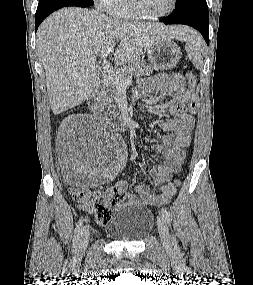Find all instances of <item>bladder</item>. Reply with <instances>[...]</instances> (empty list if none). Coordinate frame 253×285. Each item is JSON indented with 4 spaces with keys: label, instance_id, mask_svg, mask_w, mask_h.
<instances>
[{
    "label": "bladder",
    "instance_id": "31cf9c89",
    "mask_svg": "<svg viewBox=\"0 0 253 285\" xmlns=\"http://www.w3.org/2000/svg\"><path fill=\"white\" fill-rule=\"evenodd\" d=\"M154 216L152 211L141 205L124 204L120 206L112 219L105 225V234L117 241H138L152 229Z\"/></svg>",
    "mask_w": 253,
    "mask_h": 285
}]
</instances>
